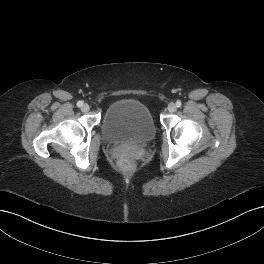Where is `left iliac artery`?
<instances>
[{"mask_svg":"<svg viewBox=\"0 0 264 264\" xmlns=\"http://www.w3.org/2000/svg\"><path fill=\"white\" fill-rule=\"evenodd\" d=\"M181 105H182L181 101L178 100V101L176 102V106H177V107H181Z\"/></svg>","mask_w":264,"mask_h":264,"instance_id":"obj_1","label":"left iliac artery"}]
</instances>
